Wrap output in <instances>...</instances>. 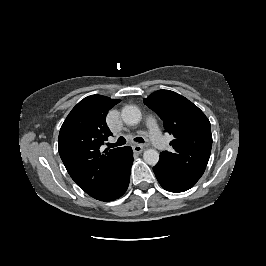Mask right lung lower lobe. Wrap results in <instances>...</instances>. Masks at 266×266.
Segmentation results:
<instances>
[{"mask_svg": "<svg viewBox=\"0 0 266 266\" xmlns=\"http://www.w3.org/2000/svg\"><path fill=\"white\" fill-rule=\"evenodd\" d=\"M132 163V148L126 146L108 187L100 195L95 197V199L100 201H112L121 197L128 188Z\"/></svg>", "mask_w": 266, "mask_h": 266, "instance_id": "1", "label": "right lung lower lobe"}]
</instances>
